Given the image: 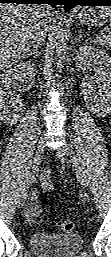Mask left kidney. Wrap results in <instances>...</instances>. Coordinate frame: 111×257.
<instances>
[{"mask_svg":"<svg viewBox=\"0 0 111 257\" xmlns=\"http://www.w3.org/2000/svg\"><path fill=\"white\" fill-rule=\"evenodd\" d=\"M79 65H91L98 74L97 81L103 85L99 93L91 97L92 109L97 114L111 111V57L102 50L83 45L76 53Z\"/></svg>","mask_w":111,"mask_h":257,"instance_id":"obj_1","label":"left kidney"}]
</instances>
